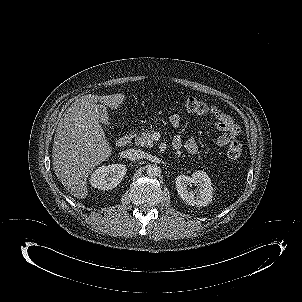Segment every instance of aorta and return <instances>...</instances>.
<instances>
[{"instance_id":"obj_1","label":"aorta","mask_w":302,"mask_h":302,"mask_svg":"<svg viewBox=\"0 0 302 302\" xmlns=\"http://www.w3.org/2000/svg\"><path fill=\"white\" fill-rule=\"evenodd\" d=\"M147 174L149 176H158V174H160V168L157 165H149L147 168Z\"/></svg>"}]
</instances>
